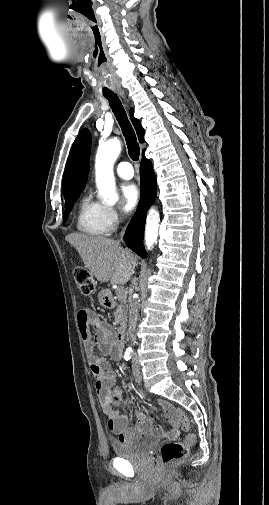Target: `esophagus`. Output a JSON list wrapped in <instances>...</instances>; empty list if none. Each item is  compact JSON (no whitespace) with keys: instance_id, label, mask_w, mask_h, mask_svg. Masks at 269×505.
<instances>
[{"instance_id":"obj_1","label":"esophagus","mask_w":269,"mask_h":505,"mask_svg":"<svg viewBox=\"0 0 269 505\" xmlns=\"http://www.w3.org/2000/svg\"><path fill=\"white\" fill-rule=\"evenodd\" d=\"M118 92L123 98H125L124 92L122 90H119Z\"/></svg>"}]
</instances>
